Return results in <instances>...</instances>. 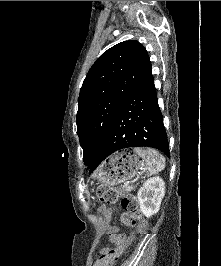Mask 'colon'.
Wrapping results in <instances>:
<instances>
[{
    "label": "colon",
    "mask_w": 221,
    "mask_h": 266,
    "mask_svg": "<svg viewBox=\"0 0 221 266\" xmlns=\"http://www.w3.org/2000/svg\"><path fill=\"white\" fill-rule=\"evenodd\" d=\"M99 200L105 204H115L119 198L118 190L114 187L101 185L97 190ZM120 205L123 210L121 215L122 222L131 228H137L143 233L147 229V221L142 217L136 199L131 195H125L120 200ZM112 239L116 242H121L113 248H106L97 261V266H112L122 254L128 241H124L123 237L114 235Z\"/></svg>",
    "instance_id": "5ec220e1"
}]
</instances>
